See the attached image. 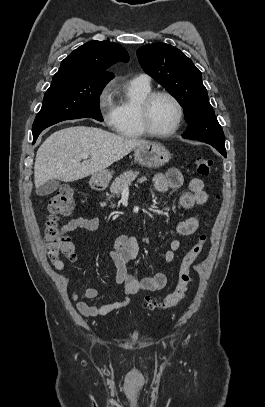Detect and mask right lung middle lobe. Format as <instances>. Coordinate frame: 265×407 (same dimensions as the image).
<instances>
[{
	"instance_id": "right-lung-middle-lobe-1",
	"label": "right lung middle lobe",
	"mask_w": 265,
	"mask_h": 407,
	"mask_svg": "<svg viewBox=\"0 0 265 407\" xmlns=\"http://www.w3.org/2000/svg\"><path fill=\"white\" fill-rule=\"evenodd\" d=\"M107 82L76 80L67 75L54 76L43 105L32 127L33 137L63 120L94 118L103 121L99 96Z\"/></svg>"
}]
</instances>
